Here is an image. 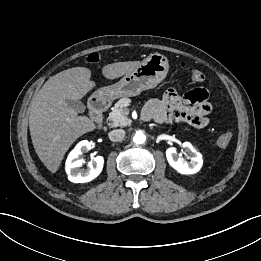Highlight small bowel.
I'll use <instances>...</instances> for the list:
<instances>
[{
    "label": "small bowel",
    "mask_w": 261,
    "mask_h": 261,
    "mask_svg": "<svg viewBox=\"0 0 261 261\" xmlns=\"http://www.w3.org/2000/svg\"><path fill=\"white\" fill-rule=\"evenodd\" d=\"M208 96L205 88H195L184 95L174 89H168L161 99H153L146 104L143 116L159 123L185 122L196 128H203L210 121L211 105Z\"/></svg>",
    "instance_id": "c3829d8e"
}]
</instances>
